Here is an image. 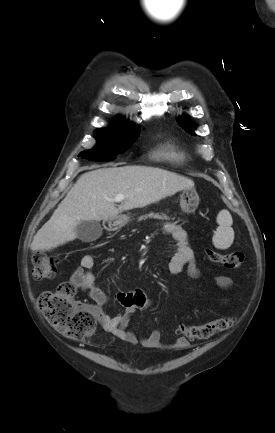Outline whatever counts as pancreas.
Listing matches in <instances>:
<instances>
[{"instance_id": "pancreas-1", "label": "pancreas", "mask_w": 275, "mask_h": 433, "mask_svg": "<svg viewBox=\"0 0 275 433\" xmlns=\"http://www.w3.org/2000/svg\"><path fill=\"white\" fill-rule=\"evenodd\" d=\"M147 218H154V219L166 220V221L174 220L175 219V218H170L169 216H167L166 214H163V213H161V214H159V213H156V214L150 213L148 215L141 216L140 218H138V221H142V220H145Z\"/></svg>"}]
</instances>
